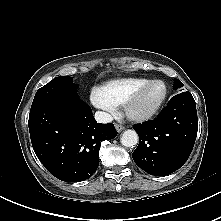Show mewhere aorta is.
<instances>
[{
  "label": "aorta",
  "instance_id": "1",
  "mask_svg": "<svg viewBox=\"0 0 221 221\" xmlns=\"http://www.w3.org/2000/svg\"><path fill=\"white\" fill-rule=\"evenodd\" d=\"M121 143L125 147H134L138 143V134L134 130H126L121 137Z\"/></svg>",
  "mask_w": 221,
  "mask_h": 221
}]
</instances>
